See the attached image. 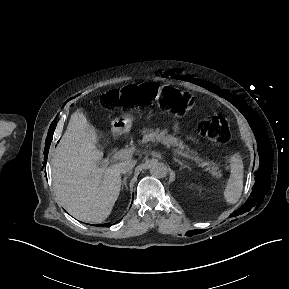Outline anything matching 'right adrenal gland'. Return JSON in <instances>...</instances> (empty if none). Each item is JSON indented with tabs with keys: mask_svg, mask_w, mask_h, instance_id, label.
I'll return each instance as SVG.
<instances>
[{
	"mask_svg": "<svg viewBox=\"0 0 289 289\" xmlns=\"http://www.w3.org/2000/svg\"><path fill=\"white\" fill-rule=\"evenodd\" d=\"M130 174L131 172H129L127 175L124 176L123 181H122V188L123 186L127 187V178Z\"/></svg>",
	"mask_w": 289,
	"mask_h": 289,
	"instance_id": "2a0ac1e0",
	"label": "right adrenal gland"
}]
</instances>
